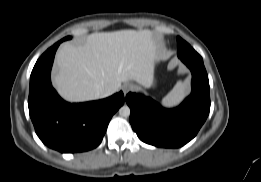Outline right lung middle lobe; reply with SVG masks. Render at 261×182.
Here are the masks:
<instances>
[{
  "label": "right lung middle lobe",
  "instance_id": "obj_1",
  "mask_svg": "<svg viewBox=\"0 0 261 182\" xmlns=\"http://www.w3.org/2000/svg\"><path fill=\"white\" fill-rule=\"evenodd\" d=\"M68 39H71V37L67 36V37L63 38L62 40L65 41V40H68Z\"/></svg>",
  "mask_w": 261,
  "mask_h": 182
}]
</instances>
